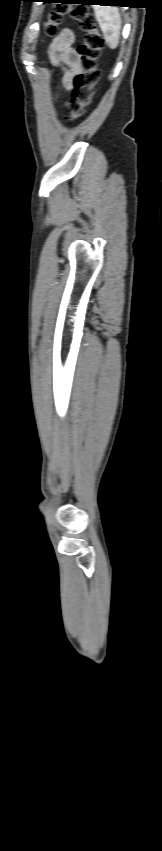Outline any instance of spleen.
<instances>
[{
  "instance_id": "spleen-1",
  "label": "spleen",
  "mask_w": 162,
  "mask_h": 851,
  "mask_svg": "<svg viewBox=\"0 0 162 851\" xmlns=\"http://www.w3.org/2000/svg\"><path fill=\"white\" fill-rule=\"evenodd\" d=\"M96 20L104 34V39L111 49L118 46L122 20L117 7L94 6Z\"/></svg>"
}]
</instances>
